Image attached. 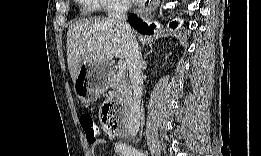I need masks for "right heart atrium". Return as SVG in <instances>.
Segmentation results:
<instances>
[{
  "label": "right heart atrium",
  "instance_id": "1",
  "mask_svg": "<svg viewBox=\"0 0 261 156\" xmlns=\"http://www.w3.org/2000/svg\"><path fill=\"white\" fill-rule=\"evenodd\" d=\"M89 5L94 9L104 10H110L122 6L119 2L110 0H89Z\"/></svg>",
  "mask_w": 261,
  "mask_h": 156
}]
</instances>
